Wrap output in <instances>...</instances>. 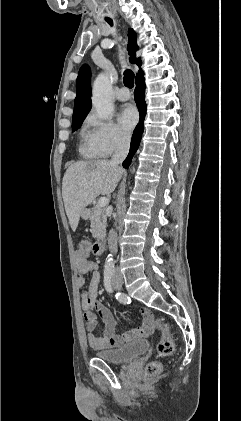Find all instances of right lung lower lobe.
Here are the masks:
<instances>
[{
  "label": "right lung lower lobe",
  "mask_w": 241,
  "mask_h": 421,
  "mask_svg": "<svg viewBox=\"0 0 241 421\" xmlns=\"http://www.w3.org/2000/svg\"><path fill=\"white\" fill-rule=\"evenodd\" d=\"M135 83H136V88L134 91V97H135V101L137 104V107L140 111V122L137 124L133 136H132V140H131V144H130V152L127 156V158L124 160L123 162V167L124 168H128L132 158L136 152V150L139 147L140 144V140H141V135L143 133V129H144V118L146 115V103H145V81H144V73L142 70L139 71L138 75L136 76L135 79Z\"/></svg>",
  "instance_id": "obj_1"
}]
</instances>
